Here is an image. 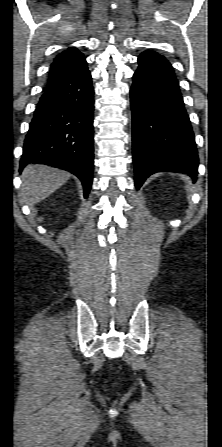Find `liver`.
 <instances>
[{
    "instance_id": "obj_1",
    "label": "liver",
    "mask_w": 222,
    "mask_h": 447,
    "mask_svg": "<svg viewBox=\"0 0 222 447\" xmlns=\"http://www.w3.org/2000/svg\"><path fill=\"white\" fill-rule=\"evenodd\" d=\"M21 196L33 206L59 189L70 177L66 171L46 165H28L22 174Z\"/></svg>"
}]
</instances>
